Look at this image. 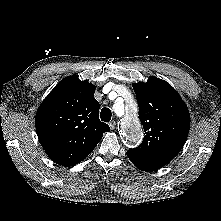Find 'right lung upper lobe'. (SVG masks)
Wrapping results in <instances>:
<instances>
[{"instance_id": "obj_1", "label": "right lung upper lobe", "mask_w": 221, "mask_h": 221, "mask_svg": "<svg viewBox=\"0 0 221 221\" xmlns=\"http://www.w3.org/2000/svg\"><path fill=\"white\" fill-rule=\"evenodd\" d=\"M95 86L69 76L60 81L36 113V131L47 155L69 167L86 158L109 126L99 119Z\"/></svg>"}]
</instances>
